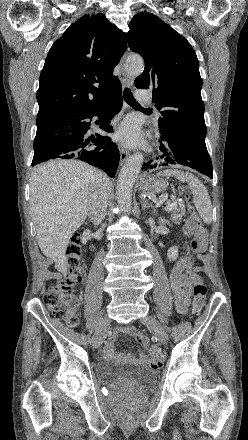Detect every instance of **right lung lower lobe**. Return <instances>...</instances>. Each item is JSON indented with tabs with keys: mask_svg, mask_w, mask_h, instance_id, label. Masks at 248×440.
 <instances>
[{
	"mask_svg": "<svg viewBox=\"0 0 248 440\" xmlns=\"http://www.w3.org/2000/svg\"><path fill=\"white\" fill-rule=\"evenodd\" d=\"M121 85L102 102L90 106L79 107L66 112L53 120L37 125L34 141V157L32 166L49 159H77L99 167L109 177H114L118 163L119 151L115 143L106 136L96 134L88 137L94 116L100 128L106 132H113L109 120L122 107Z\"/></svg>",
	"mask_w": 248,
	"mask_h": 440,
	"instance_id": "98d812e1",
	"label": "right lung lower lobe"
}]
</instances>
